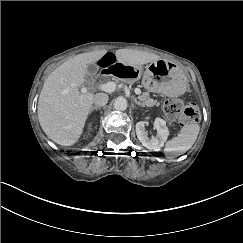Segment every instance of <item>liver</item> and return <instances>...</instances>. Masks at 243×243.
<instances>
[{
  "instance_id": "6515ba94",
  "label": "liver",
  "mask_w": 243,
  "mask_h": 243,
  "mask_svg": "<svg viewBox=\"0 0 243 243\" xmlns=\"http://www.w3.org/2000/svg\"><path fill=\"white\" fill-rule=\"evenodd\" d=\"M107 50L76 55L54 69L48 76L38 100V120L49 139L62 147L75 145L92 109L94 94L86 93L80 100L79 87L89 65L97 63ZM116 62L125 66H141L161 59L160 56L134 50L115 51Z\"/></svg>"
}]
</instances>
